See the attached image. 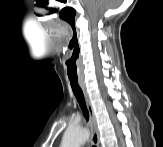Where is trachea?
<instances>
[{
  "label": "trachea",
  "instance_id": "trachea-1",
  "mask_svg": "<svg viewBox=\"0 0 163 147\" xmlns=\"http://www.w3.org/2000/svg\"><path fill=\"white\" fill-rule=\"evenodd\" d=\"M70 85H71V88H72V91L82 109V112L84 114V117L85 119L88 121L89 120V112H88V109L86 107V103H85V99H84V95H83V92H82V89L81 87L79 86V83L77 80L73 81V80H70ZM95 147V146H93Z\"/></svg>",
  "mask_w": 163,
  "mask_h": 147
}]
</instances>
